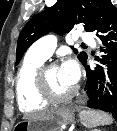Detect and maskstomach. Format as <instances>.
Segmentation results:
<instances>
[{
    "instance_id": "stomach-1",
    "label": "stomach",
    "mask_w": 117,
    "mask_h": 131,
    "mask_svg": "<svg viewBox=\"0 0 117 131\" xmlns=\"http://www.w3.org/2000/svg\"><path fill=\"white\" fill-rule=\"evenodd\" d=\"M74 121L71 106H61L41 118L25 119L14 126L15 131H62V126Z\"/></svg>"
}]
</instances>
